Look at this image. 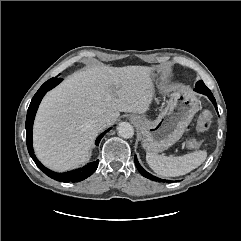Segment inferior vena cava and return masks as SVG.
Segmentation results:
<instances>
[{
	"instance_id": "inferior-vena-cava-1",
	"label": "inferior vena cava",
	"mask_w": 241,
	"mask_h": 241,
	"mask_svg": "<svg viewBox=\"0 0 241 241\" xmlns=\"http://www.w3.org/2000/svg\"><path fill=\"white\" fill-rule=\"evenodd\" d=\"M109 122L110 121L106 116H101L94 121V126L97 129L102 130L109 124Z\"/></svg>"
}]
</instances>
